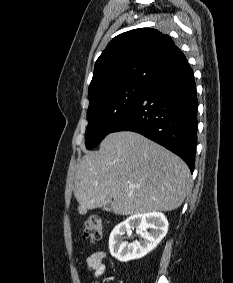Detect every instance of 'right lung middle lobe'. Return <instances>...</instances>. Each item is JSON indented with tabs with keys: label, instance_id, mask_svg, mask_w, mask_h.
Segmentation results:
<instances>
[{
	"label": "right lung middle lobe",
	"instance_id": "dd1d6c3e",
	"mask_svg": "<svg viewBox=\"0 0 233 283\" xmlns=\"http://www.w3.org/2000/svg\"><path fill=\"white\" fill-rule=\"evenodd\" d=\"M148 84L131 83L106 92L90 102L85 133L86 147L97 146L129 112Z\"/></svg>",
	"mask_w": 233,
	"mask_h": 283
}]
</instances>
